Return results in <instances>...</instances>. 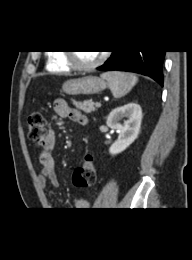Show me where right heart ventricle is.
Masks as SVG:
<instances>
[{"instance_id":"e07e8e85","label":"right heart ventricle","mask_w":192,"mask_h":260,"mask_svg":"<svg viewBox=\"0 0 192 260\" xmlns=\"http://www.w3.org/2000/svg\"><path fill=\"white\" fill-rule=\"evenodd\" d=\"M47 69L50 72L66 73L70 71L71 66L66 62L63 53L53 52L48 55Z\"/></svg>"}]
</instances>
